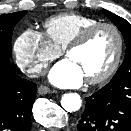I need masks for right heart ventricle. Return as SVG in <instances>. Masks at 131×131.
Masks as SVG:
<instances>
[{"instance_id":"1","label":"right heart ventricle","mask_w":131,"mask_h":131,"mask_svg":"<svg viewBox=\"0 0 131 131\" xmlns=\"http://www.w3.org/2000/svg\"><path fill=\"white\" fill-rule=\"evenodd\" d=\"M96 23L99 20L90 16L64 13L47 19L43 26L46 38L62 52L84 29Z\"/></svg>"}]
</instances>
